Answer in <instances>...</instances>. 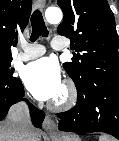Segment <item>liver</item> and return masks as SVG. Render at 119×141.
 Here are the masks:
<instances>
[{
	"mask_svg": "<svg viewBox=\"0 0 119 141\" xmlns=\"http://www.w3.org/2000/svg\"><path fill=\"white\" fill-rule=\"evenodd\" d=\"M19 136L8 119L0 122V141H20ZM27 141H36L38 139L37 131L32 127Z\"/></svg>",
	"mask_w": 119,
	"mask_h": 141,
	"instance_id": "1",
	"label": "liver"
}]
</instances>
